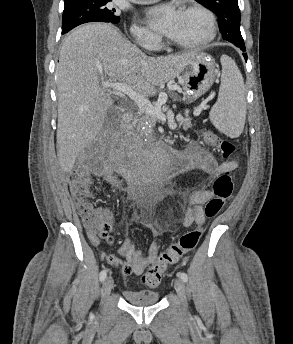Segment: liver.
Segmentation results:
<instances>
[{"instance_id": "6515ba94", "label": "liver", "mask_w": 293, "mask_h": 344, "mask_svg": "<svg viewBox=\"0 0 293 344\" xmlns=\"http://www.w3.org/2000/svg\"><path fill=\"white\" fill-rule=\"evenodd\" d=\"M195 55L149 57L107 24H87L74 30L63 42L56 69L57 156L62 169L72 171L114 104L101 86L103 76L144 97L151 96L156 87L177 77Z\"/></svg>"}]
</instances>
